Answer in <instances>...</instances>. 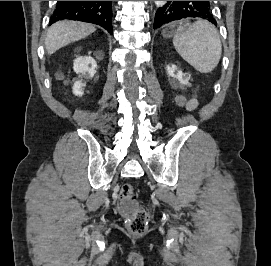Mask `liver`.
<instances>
[{"label": "liver", "instance_id": "liver-1", "mask_svg": "<svg viewBox=\"0 0 271 266\" xmlns=\"http://www.w3.org/2000/svg\"><path fill=\"white\" fill-rule=\"evenodd\" d=\"M95 30L92 24L68 20L58 21L47 31L45 48L51 55L69 43L85 38Z\"/></svg>", "mask_w": 271, "mask_h": 266}]
</instances>
